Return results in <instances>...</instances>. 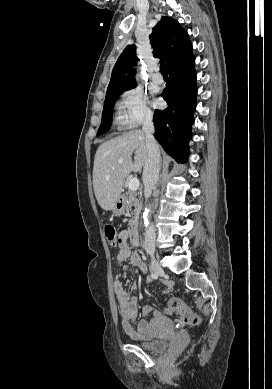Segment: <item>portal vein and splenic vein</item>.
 <instances>
[{"label": "portal vein and splenic vein", "instance_id": "portal-vein-and-splenic-vein-1", "mask_svg": "<svg viewBox=\"0 0 272 389\" xmlns=\"http://www.w3.org/2000/svg\"><path fill=\"white\" fill-rule=\"evenodd\" d=\"M119 163H121V160H119ZM139 185H140L139 180L137 178H132L129 181L128 187H129V190L136 191V190H138Z\"/></svg>", "mask_w": 272, "mask_h": 389}]
</instances>
